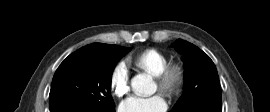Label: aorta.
<instances>
[{"label":"aorta","instance_id":"762f6f07","mask_svg":"<svg viewBox=\"0 0 270 112\" xmlns=\"http://www.w3.org/2000/svg\"><path fill=\"white\" fill-rule=\"evenodd\" d=\"M132 90L137 95L150 96L154 94L156 86L152 79L146 74H138L131 80Z\"/></svg>","mask_w":270,"mask_h":112}]
</instances>
